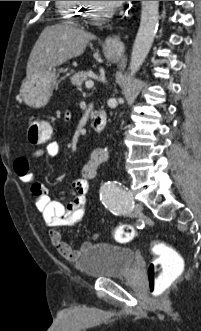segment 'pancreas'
I'll list each match as a JSON object with an SVG mask.
<instances>
[{"instance_id":"pancreas-1","label":"pancreas","mask_w":201,"mask_h":331,"mask_svg":"<svg viewBox=\"0 0 201 331\" xmlns=\"http://www.w3.org/2000/svg\"><path fill=\"white\" fill-rule=\"evenodd\" d=\"M88 80V72L80 71L71 78V83L77 88H81L83 82Z\"/></svg>"}]
</instances>
